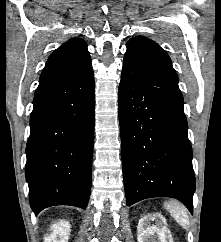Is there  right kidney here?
I'll return each mask as SVG.
<instances>
[{"instance_id":"obj_1","label":"right kidney","mask_w":221,"mask_h":242,"mask_svg":"<svg viewBox=\"0 0 221 242\" xmlns=\"http://www.w3.org/2000/svg\"><path fill=\"white\" fill-rule=\"evenodd\" d=\"M71 225L68 221L60 220L51 226L52 233L46 238V242H68Z\"/></svg>"}]
</instances>
